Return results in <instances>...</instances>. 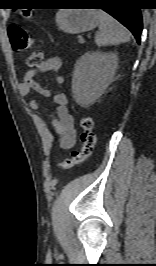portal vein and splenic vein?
I'll return each mask as SVG.
<instances>
[{
	"label": "portal vein and splenic vein",
	"instance_id": "portal-vein-and-splenic-vein-1",
	"mask_svg": "<svg viewBox=\"0 0 156 266\" xmlns=\"http://www.w3.org/2000/svg\"><path fill=\"white\" fill-rule=\"evenodd\" d=\"M79 42H80V43H83V42H84V40H83V39H80V40H79Z\"/></svg>",
	"mask_w": 156,
	"mask_h": 266
}]
</instances>
